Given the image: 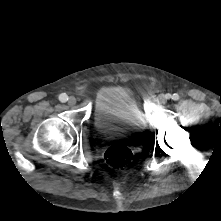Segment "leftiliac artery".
Returning a JSON list of instances; mask_svg holds the SVG:
<instances>
[{"mask_svg": "<svg viewBox=\"0 0 221 221\" xmlns=\"http://www.w3.org/2000/svg\"><path fill=\"white\" fill-rule=\"evenodd\" d=\"M166 96H167V98H170L169 94H167ZM172 99L173 100H178L179 99V95L178 94H173Z\"/></svg>", "mask_w": 221, "mask_h": 221, "instance_id": "obj_1", "label": "left iliac artery"}]
</instances>
